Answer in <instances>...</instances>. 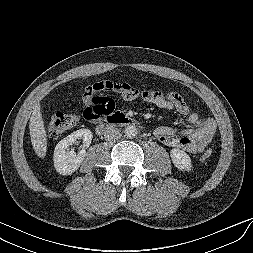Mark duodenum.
<instances>
[{
    "label": "duodenum",
    "mask_w": 253,
    "mask_h": 253,
    "mask_svg": "<svg viewBox=\"0 0 253 253\" xmlns=\"http://www.w3.org/2000/svg\"><path fill=\"white\" fill-rule=\"evenodd\" d=\"M135 120L128 117L124 113L116 112L99 123L96 127V132L101 135H107L113 128L117 126H129L135 124Z\"/></svg>",
    "instance_id": "1"
}]
</instances>
